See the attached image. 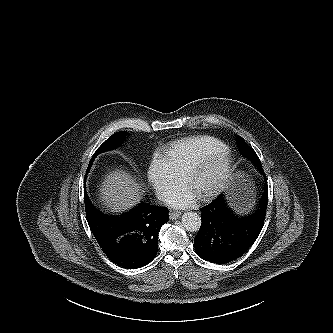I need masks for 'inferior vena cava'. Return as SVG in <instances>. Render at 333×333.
Here are the masks:
<instances>
[{
	"label": "inferior vena cava",
	"mask_w": 333,
	"mask_h": 333,
	"mask_svg": "<svg viewBox=\"0 0 333 333\" xmlns=\"http://www.w3.org/2000/svg\"><path fill=\"white\" fill-rule=\"evenodd\" d=\"M157 198L161 201H168L171 196L167 192H159L157 193Z\"/></svg>",
	"instance_id": "1"
}]
</instances>
